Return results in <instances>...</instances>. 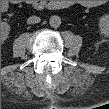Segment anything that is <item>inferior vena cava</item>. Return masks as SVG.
<instances>
[{
  "mask_svg": "<svg viewBox=\"0 0 109 109\" xmlns=\"http://www.w3.org/2000/svg\"><path fill=\"white\" fill-rule=\"evenodd\" d=\"M40 22V18L38 16H31L27 19V24H36Z\"/></svg>",
  "mask_w": 109,
  "mask_h": 109,
  "instance_id": "1",
  "label": "inferior vena cava"
}]
</instances>
